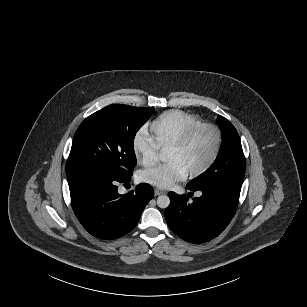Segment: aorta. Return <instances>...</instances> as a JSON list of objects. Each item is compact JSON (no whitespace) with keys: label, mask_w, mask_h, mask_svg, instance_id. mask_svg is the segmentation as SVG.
I'll return each mask as SVG.
<instances>
[{"label":"aorta","mask_w":307,"mask_h":307,"mask_svg":"<svg viewBox=\"0 0 307 307\" xmlns=\"http://www.w3.org/2000/svg\"><path fill=\"white\" fill-rule=\"evenodd\" d=\"M170 204V199L167 195H160L158 198H157V205L160 207V208H167Z\"/></svg>","instance_id":"aorta-1"}]
</instances>
